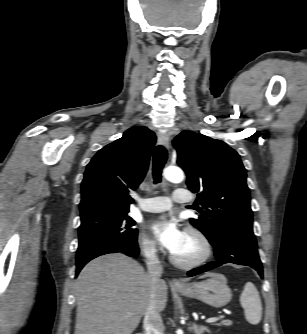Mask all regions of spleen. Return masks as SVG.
Masks as SVG:
<instances>
[{
	"mask_svg": "<svg viewBox=\"0 0 307 334\" xmlns=\"http://www.w3.org/2000/svg\"><path fill=\"white\" fill-rule=\"evenodd\" d=\"M240 303L245 310L246 320L250 324H258L262 317V304L259 292L252 282L245 284L240 296Z\"/></svg>",
	"mask_w": 307,
	"mask_h": 334,
	"instance_id": "obj_1",
	"label": "spleen"
}]
</instances>
